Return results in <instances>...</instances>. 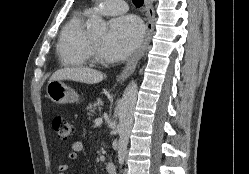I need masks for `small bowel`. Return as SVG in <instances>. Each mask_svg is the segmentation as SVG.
I'll return each instance as SVG.
<instances>
[{"label":"small bowel","instance_id":"obj_1","mask_svg":"<svg viewBox=\"0 0 249 174\" xmlns=\"http://www.w3.org/2000/svg\"><path fill=\"white\" fill-rule=\"evenodd\" d=\"M84 151V143L82 141H76L72 144L71 150L68 152V158L71 160L77 159L78 155ZM69 167L67 164H61L58 166L59 174H67Z\"/></svg>","mask_w":249,"mask_h":174}]
</instances>
